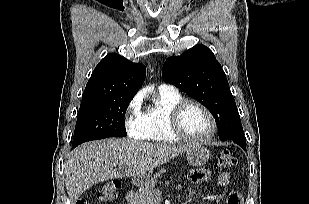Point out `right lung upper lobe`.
Wrapping results in <instances>:
<instances>
[{
  "label": "right lung upper lobe",
  "instance_id": "cb5924a9",
  "mask_svg": "<svg viewBox=\"0 0 309 204\" xmlns=\"http://www.w3.org/2000/svg\"><path fill=\"white\" fill-rule=\"evenodd\" d=\"M146 68L126 58L110 53L94 69L83 93L82 102L115 98H133L141 87Z\"/></svg>",
  "mask_w": 309,
  "mask_h": 204
}]
</instances>
